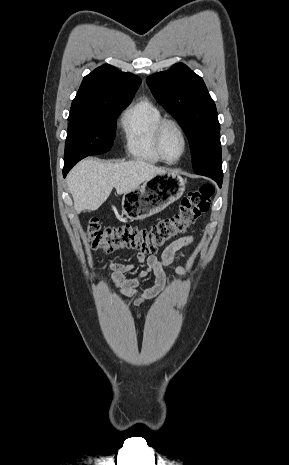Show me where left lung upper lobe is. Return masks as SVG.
<instances>
[{"instance_id":"5c2ea615","label":"left lung upper lobe","mask_w":289,"mask_h":465,"mask_svg":"<svg viewBox=\"0 0 289 465\" xmlns=\"http://www.w3.org/2000/svg\"><path fill=\"white\" fill-rule=\"evenodd\" d=\"M147 84L157 101L184 130L195 173L208 176L219 184L223 178L220 124L215 103L203 79L179 63L149 76Z\"/></svg>"}]
</instances>
